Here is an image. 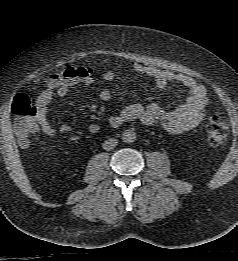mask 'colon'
Masks as SVG:
<instances>
[{
    "label": "colon",
    "mask_w": 238,
    "mask_h": 261,
    "mask_svg": "<svg viewBox=\"0 0 238 261\" xmlns=\"http://www.w3.org/2000/svg\"><path fill=\"white\" fill-rule=\"evenodd\" d=\"M84 67L66 66L59 73L52 76L53 79H69L85 75ZM14 115V130L19 144L26 147L30 138L38 131L36 106L26 95H18L12 103ZM227 135V125L219 115L209 118L206 142L210 146L221 144Z\"/></svg>",
    "instance_id": "1"
}]
</instances>
